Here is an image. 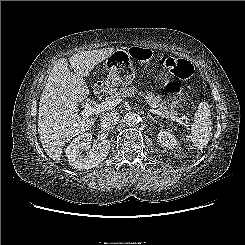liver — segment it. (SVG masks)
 I'll use <instances>...</instances> for the list:
<instances>
[{
    "instance_id": "obj_1",
    "label": "liver",
    "mask_w": 245,
    "mask_h": 245,
    "mask_svg": "<svg viewBox=\"0 0 245 245\" xmlns=\"http://www.w3.org/2000/svg\"><path fill=\"white\" fill-rule=\"evenodd\" d=\"M113 47L83 51L58 59L48 77L39 102L38 133L46 154L56 163L61 160L64 145L73 137L88 131L95 119L81 118L78 105L89 95L85 78L94 67L108 58Z\"/></svg>"
}]
</instances>
